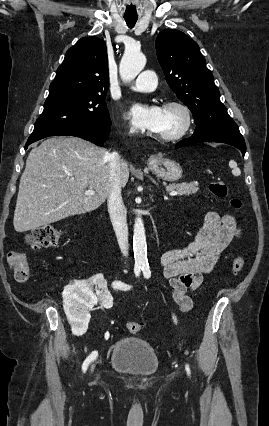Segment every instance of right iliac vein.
<instances>
[{"instance_id": "1", "label": "right iliac vein", "mask_w": 269, "mask_h": 426, "mask_svg": "<svg viewBox=\"0 0 269 426\" xmlns=\"http://www.w3.org/2000/svg\"><path fill=\"white\" fill-rule=\"evenodd\" d=\"M94 367H95V364L93 363V364L91 365V371H93V370H94Z\"/></svg>"}]
</instances>
